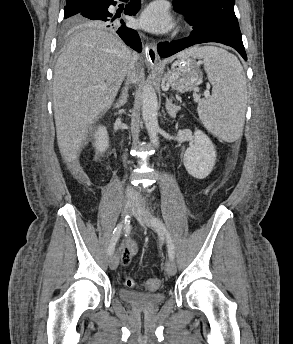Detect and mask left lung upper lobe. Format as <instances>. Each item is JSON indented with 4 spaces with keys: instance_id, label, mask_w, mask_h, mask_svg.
Here are the masks:
<instances>
[{
    "instance_id": "left-lung-upper-lobe-1",
    "label": "left lung upper lobe",
    "mask_w": 293,
    "mask_h": 344,
    "mask_svg": "<svg viewBox=\"0 0 293 344\" xmlns=\"http://www.w3.org/2000/svg\"><path fill=\"white\" fill-rule=\"evenodd\" d=\"M234 4L235 0H173L176 8L200 22L220 26L242 37Z\"/></svg>"
}]
</instances>
